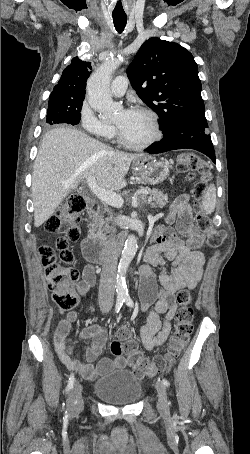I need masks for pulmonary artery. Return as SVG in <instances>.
I'll list each match as a JSON object with an SVG mask.
<instances>
[{"mask_svg": "<svg viewBox=\"0 0 250 454\" xmlns=\"http://www.w3.org/2000/svg\"><path fill=\"white\" fill-rule=\"evenodd\" d=\"M128 86V80L125 76H117L111 83V92L115 96H122Z\"/></svg>", "mask_w": 250, "mask_h": 454, "instance_id": "e3ab8cb5", "label": "pulmonary artery"}]
</instances>
